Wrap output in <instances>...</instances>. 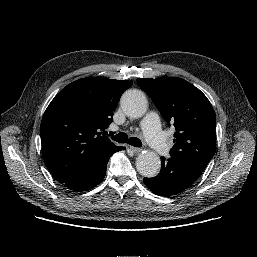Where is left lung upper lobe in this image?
I'll return each instance as SVG.
<instances>
[{"mask_svg": "<svg viewBox=\"0 0 257 257\" xmlns=\"http://www.w3.org/2000/svg\"><path fill=\"white\" fill-rule=\"evenodd\" d=\"M137 83L152 98L165 121L175 126L171 157L203 171L216 146V116L207 97L178 77L138 78Z\"/></svg>", "mask_w": 257, "mask_h": 257, "instance_id": "obj_1", "label": "left lung upper lobe"}]
</instances>
